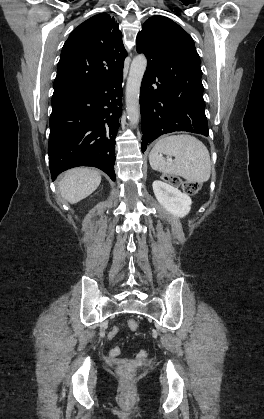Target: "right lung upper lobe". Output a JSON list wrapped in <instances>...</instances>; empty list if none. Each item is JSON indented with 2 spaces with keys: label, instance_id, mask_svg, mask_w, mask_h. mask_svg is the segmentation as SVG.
I'll return each mask as SVG.
<instances>
[{
  "label": "right lung upper lobe",
  "instance_id": "cb5924a9",
  "mask_svg": "<svg viewBox=\"0 0 264 419\" xmlns=\"http://www.w3.org/2000/svg\"><path fill=\"white\" fill-rule=\"evenodd\" d=\"M118 26L100 13L71 32L58 62L53 96L95 88L123 71L126 51Z\"/></svg>",
  "mask_w": 264,
  "mask_h": 419
}]
</instances>
